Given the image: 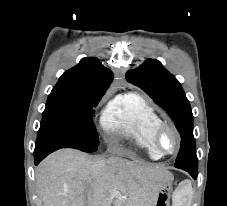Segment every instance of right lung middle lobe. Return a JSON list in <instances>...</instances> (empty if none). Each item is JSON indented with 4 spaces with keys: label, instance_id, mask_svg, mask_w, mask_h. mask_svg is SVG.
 <instances>
[{
    "label": "right lung middle lobe",
    "instance_id": "1",
    "mask_svg": "<svg viewBox=\"0 0 227 206\" xmlns=\"http://www.w3.org/2000/svg\"><path fill=\"white\" fill-rule=\"evenodd\" d=\"M101 98L52 91L42 114L34 152L60 148L96 151L99 140L92 114Z\"/></svg>",
    "mask_w": 227,
    "mask_h": 206
}]
</instances>
